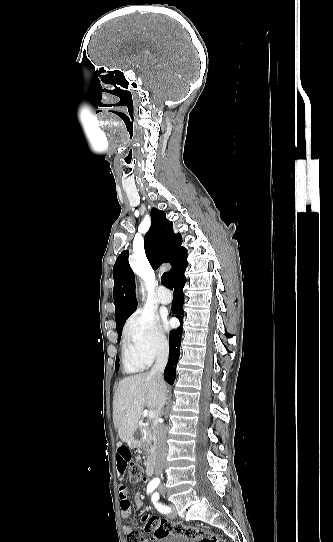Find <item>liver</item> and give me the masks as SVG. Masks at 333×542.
Segmentation results:
<instances>
[{
  "label": "liver",
  "mask_w": 333,
  "mask_h": 542,
  "mask_svg": "<svg viewBox=\"0 0 333 542\" xmlns=\"http://www.w3.org/2000/svg\"><path fill=\"white\" fill-rule=\"evenodd\" d=\"M164 388L165 382H158L155 376H149V372L128 376L119 382L113 400V422L120 438L117 448L134 436L145 406L155 410L158 416L157 400Z\"/></svg>",
  "instance_id": "1"
}]
</instances>
